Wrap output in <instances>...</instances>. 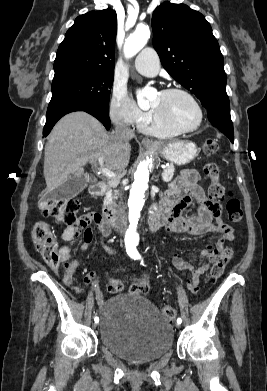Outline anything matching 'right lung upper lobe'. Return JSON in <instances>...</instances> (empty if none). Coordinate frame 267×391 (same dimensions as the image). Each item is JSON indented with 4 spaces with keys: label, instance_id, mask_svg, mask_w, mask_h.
Instances as JSON below:
<instances>
[{
    "label": "right lung upper lobe",
    "instance_id": "obj_1",
    "mask_svg": "<svg viewBox=\"0 0 267 391\" xmlns=\"http://www.w3.org/2000/svg\"><path fill=\"white\" fill-rule=\"evenodd\" d=\"M116 33L117 15L112 9L78 16L58 48L54 76L75 71L114 73Z\"/></svg>",
    "mask_w": 267,
    "mask_h": 391
}]
</instances>
